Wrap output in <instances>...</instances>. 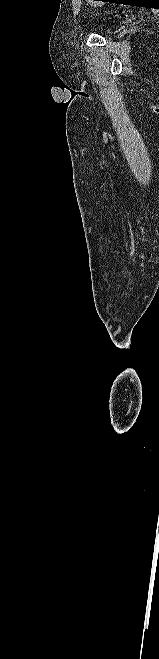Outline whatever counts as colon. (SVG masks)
I'll return each instance as SVG.
<instances>
[{"label": "colon", "instance_id": "1", "mask_svg": "<svg viewBox=\"0 0 159 659\" xmlns=\"http://www.w3.org/2000/svg\"><path fill=\"white\" fill-rule=\"evenodd\" d=\"M90 3H95L98 0H88Z\"/></svg>", "mask_w": 159, "mask_h": 659}]
</instances>
